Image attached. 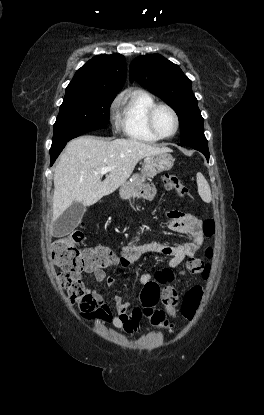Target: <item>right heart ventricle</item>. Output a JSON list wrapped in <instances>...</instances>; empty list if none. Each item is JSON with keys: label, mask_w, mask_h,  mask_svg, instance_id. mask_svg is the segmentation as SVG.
<instances>
[{"label": "right heart ventricle", "mask_w": 264, "mask_h": 415, "mask_svg": "<svg viewBox=\"0 0 264 415\" xmlns=\"http://www.w3.org/2000/svg\"><path fill=\"white\" fill-rule=\"evenodd\" d=\"M156 104L154 97L141 90L131 91L119 100V127L128 138L145 143H155L158 139L150 132L146 116Z\"/></svg>", "instance_id": "obj_1"}]
</instances>
